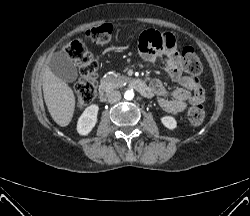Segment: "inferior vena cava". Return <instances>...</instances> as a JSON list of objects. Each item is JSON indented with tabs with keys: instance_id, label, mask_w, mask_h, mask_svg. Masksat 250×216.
<instances>
[{
	"instance_id": "602c4592",
	"label": "inferior vena cava",
	"mask_w": 250,
	"mask_h": 216,
	"mask_svg": "<svg viewBox=\"0 0 250 216\" xmlns=\"http://www.w3.org/2000/svg\"><path fill=\"white\" fill-rule=\"evenodd\" d=\"M120 99H121V93L119 91H112L108 95L109 103H116V102L120 101Z\"/></svg>"
}]
</instances>
